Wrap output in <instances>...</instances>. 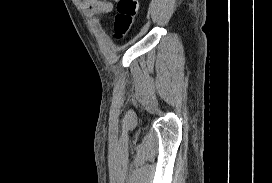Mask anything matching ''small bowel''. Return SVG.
<instances>
[{
    "label": "small bowel",
    "mask_w": 272,
    "mask_h": 183,
    "mask_svg": "<svg viewBox=\"0 0 272 183\" xmlns=\"http://www.w3.org/2000/svg\"><path fill=\"white\" fill-rule=\"evenodd\" d=\"M114 0H91L89 7L96 14L107 15L114 8Z\"/></svg>",
    "instance_id": "c3829d8e"
}]
</instances>
